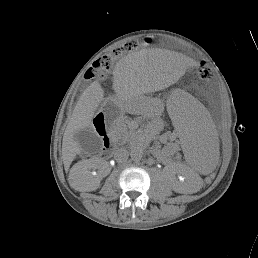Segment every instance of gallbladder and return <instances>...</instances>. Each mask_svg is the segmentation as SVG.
Returning a JSON list of instances; mask_svg holds the SVG:
<instances>
[{
    "label": "gallbladder",
    "mask_w": 258,
    "mask_h": 258,
    "mask_svg": "<svg viewBox=\"0 0 258 258\" xmlns=\"http://www.w3.org/2000/svg\"><path fill=\"white\" fill-rule=\"evenodd\" d=\"M74 139L86 153H96L101 146V139L92 127H87L78 131L75 134Z\"/></svg>",
    "instance_id": "gallbladder-1"
}]
</instances>
